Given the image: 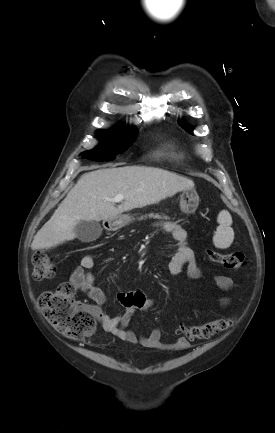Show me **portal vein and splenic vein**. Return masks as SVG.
<instances>
[{
	"mask_svg": "<svg viewBox=\"0 0 275 433\" xmlns=\"http://www.w3.org/2000/svg\"><path fill=\"white\" fill-rule=\"evenodd\" d=\"M109 200L113 203H119V202L124 200V196L123 195H116L114 198L109 199Z\"/></svg>",
	"mask_w": 275,
	"mask_h": 433,
	"instance_id": "1",
	"label": "portal vein and splenic vein"
}]
</instances>
